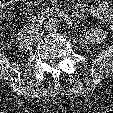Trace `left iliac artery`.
I'll return each instance as SVG.
<instances>
[{"instance_id":"44dca946","label":"left iliac artery","mask_w":113,"mask_h":113,"mask_svg":"<svg viewBox=\"0 0 113 113\" xmlns=\"http://www.w3.org/2000/svg\"><path fill=\"white\" fill-rule=\"evenodd\" d=\"M64 21L67 23V24H71L72 23V19L70 18V16H67V15H64ZM55 29L57 30V26H54Z\"/></svg>"}]
</instances>
